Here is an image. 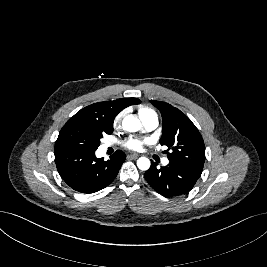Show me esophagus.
<instances>
[{
	"mask_svg": "<svg viewBox=\"0 0 267 267\" xmlns=\"http://www.w3.org/2000/svg\"><path fill=\"white\" fill-rule=\"evenodd\" d=\"M128 157L131 158V159H137L139 157V155L136 154V153H131V154L128 155Z\"/></svg>",
	"mask_w": 267,
	"mask_h": 267,
	"instance_id": "34e87169",
	"label": "esophagus"
}]
</instances>
